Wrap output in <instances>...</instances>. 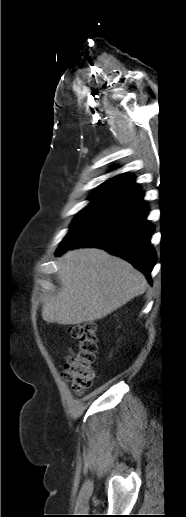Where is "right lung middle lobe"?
Instances as JSON below:
<instances>
[{
  "mask_svg": "<svg viewBox=\"0 0 186 517\" xmlns=\"http://www.w3.org/2000/svg\"><path fill=\"white\" fill-rule=\"evenodd\" d=\"M115 203L111 201L94 200L88 206H86L75 218L70 232L64 238L63 241L71 237L75 232L98 218L104 212H106ZM62 241V242H63Z\"/></svg>",
  "mask_w": 186,
  "mask_h": 517,
  "instance_id": "1",
  "label": "right lung middle lobe"
}]
</instances>
